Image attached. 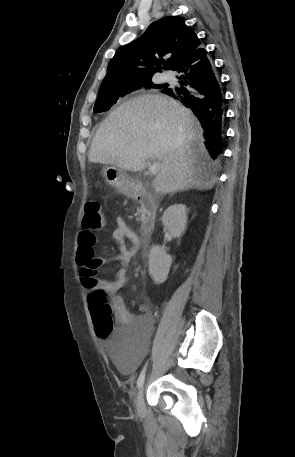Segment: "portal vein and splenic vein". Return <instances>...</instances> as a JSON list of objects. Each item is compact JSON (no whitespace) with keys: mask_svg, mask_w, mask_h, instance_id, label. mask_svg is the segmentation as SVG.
Returning <instances> with one entry per match:
<instances>
[{"mask_svg":"<svg viewBox=\"0 0 295 457\" xmlns=\"http://www.w3.org/2000/svg\"><path fill=\"white\" fill-rule=\"evenodd\" d=\"M146 166L148 167V170L150 172V175H155L159 170H160V162L156 161V162H146L145 163Z\"/></svg>","mask_w":295,"mask_h":457,"instance_id":"18ae733b","label":"portal vein and splenic vein"}]
</instances>
